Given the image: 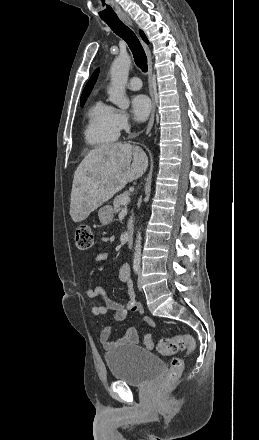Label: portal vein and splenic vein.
Segmentation results:
<instances>
[{"label":"portal vein and splenic vein","instance_id":"portal-vein-and-splenic-vein-1","mask_svg":"<svg viewBox=\"0 0 259 440\" xmlns=\"http://www.w3.org/2000/svg\"><path fill=\"white\" fill-rule=\"evenodd\" d=\"M129 201H130V198H129V197H126V198H123V199H122V203H123V205H127V204L129 203Z\"/></svg>","mask_w":259,"mask_h":440}]
</instances>
